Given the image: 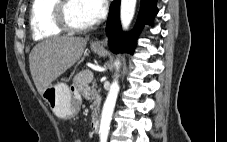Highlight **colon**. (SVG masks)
I'll return each mask as SVG.
<instances>
[{
	"mask_svg": "<svg viewBox=\"0 0 227 142\" xmlns=\"http://www.w3.org/2000/svg\"><path fill=\"white\" fill-rule=\"evenodd\" d=\"M71 142H83V140L80 137H74Z\"/></svg>",
	"mask_w": 227,
	"mask_h": 142,
	"instance_id": "1",
	"label": "colon"
}]
</instances>
